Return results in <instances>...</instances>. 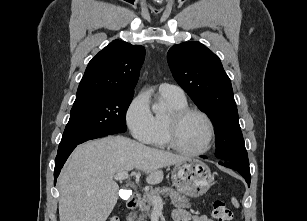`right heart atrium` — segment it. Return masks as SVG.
<instances>
[{"label":"right heart atrium","instance_id":"d8ad5b80","mask_svg":"<svg viewBox=\"0 0 307 221\" xmlns=\"http://www.w3.org/2000/svg\"><path fill=\"white\" fill-rule=\"evenodd\" d=\"M126 124L132 136L142 142L151 144L154 131V116L144 93L135 96L125 111Z\"/></svg>","mask_w":307,"mask_h":221}]
</instances>
